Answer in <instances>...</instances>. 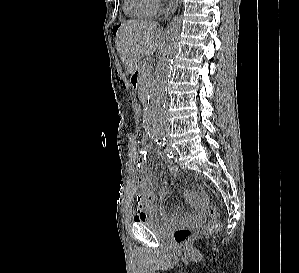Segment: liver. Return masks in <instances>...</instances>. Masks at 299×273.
Returning <instances> with one entry per match:
<instances>
[{"label":"liver","instance_id":"liver-1","mask_svg":"<svg viewBox=\"0 0 299 273\" xmlns=\"http://www.w3.org/2000/svg\"><path fill=\"white\" fill-rule=\"evenodd\" d=\"M161 39V29L155 21H125L119 27L115 46L127 73L134 74L144 56L152 55Z\"/></svg>","mask_w":299,"mask_h":273}]
</instances>
